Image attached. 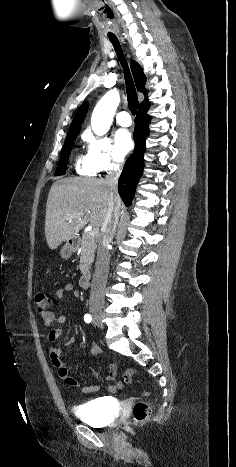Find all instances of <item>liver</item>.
I'll use <instances>...</instances> for the list:
<instances>
[{
    "mask_svg": "<svg viewBox=\"0 0 236 467\" xmlns=\"http://www.w3.org/2000/svg\"><path fill=\"white\" fill-rule=\"evenodd\" d=\"M104 179L65 178L56 181L48 194L45 217V236L50 249L76 237L88 223L99 228L108 212L111 200ZM120 208L119 196L114 199ZM72 215L71 220L67 219Z\"/></svg>",
    "mask_w": 236,
    "mask_h": 467,
    "instance_id": "liver-1",
    "label": "liver"
}]
</instances>
